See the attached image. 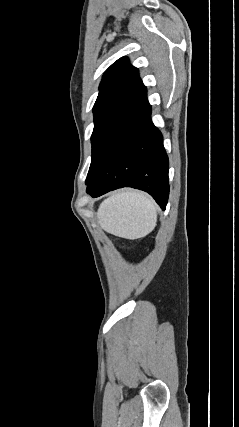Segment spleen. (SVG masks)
<instances>
[{"instance_id": "spleen-1", "label": "spleen", "mask_w": 239, "mask_h": 427, "mask_svg": "<svg viewBox=\"0 0 239 427\" xmlns=\"http://www.w3.org/2000/svg\"><path fill=\"white\" fill-rule=\"evenodd\" d=\"M97 219L110 234L130 240L142 238L156 226V204L143 192L121 191L100 204Z\"/></svg>"}]
</instances>
